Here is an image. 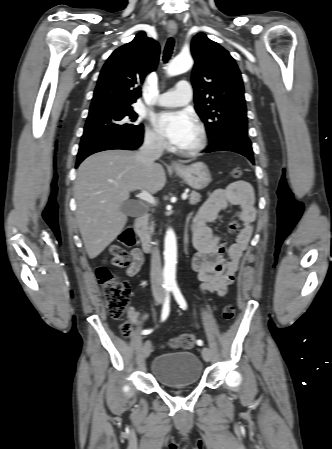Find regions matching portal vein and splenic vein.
<instances>
[{
  "label": "portal vein and splenic vein",
  "instance_id": "1",
  "mask_svg": "<svg viewBox=\"0 0 332 449\" xmlns=\"http://www.w3.org/2000/svg\"><path fill=\"white\" fill-rule=\"evenodd\" d=\"M137 197H139L140 199L148 202L149 204H155V199L154 197L147 191L142 190L140 194L137 195ZM188 197V195L186 193H184L182 195V199L186 200Z\"/></svg>",
  "mask_w": 332,
  "mask_h": 449
}]
</instances>
